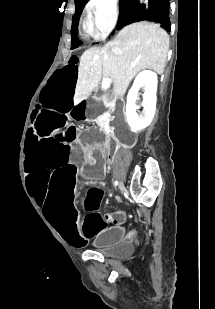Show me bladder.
<instances>
[{
    "label": "bladder",
    "instance_id": "obj_1",
    "mask_svg": "<svg viewBox=\"0 0 215 309\" xmlns=\"http://www.w3.org/2000/svg\"><path fill=\"white\" fill-rule=\"evenodd\" d=\"M135 251L134 245L130 243L119 246L116 250L106 253L105 255L117 260L130 258Z\"/></svg>",
    "mask_w": 215,
    "mask_h": 309
}]
</instances>
